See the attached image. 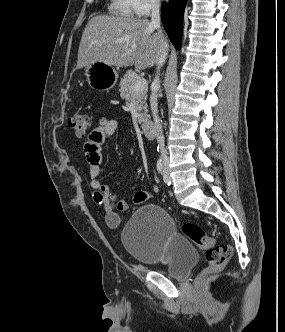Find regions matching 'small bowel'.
<instances>
[{"label":"small bowel","instance_id":"small-bowel-1","mask_svg":"<svg viewBox=\"0 0 285 332\" xmlns=\"http://www.w3.org/2000/svg\"><path fill=\"white\" fill-rule=\"evenodd\" d=\"M118 121L113 118H102L98 126L91 132L84 145V151L89 164L90 186L93 190L94 202L105 211V221L111 228H117L120 224L118 212H125L130 204L126 200H119L108 186L99 180L102 168V145L118 129ZM151 193L139 191L133 198L134 204L145 202Z\"/></svg>","mask_w":285,"mask_h":332}]
</instances>
